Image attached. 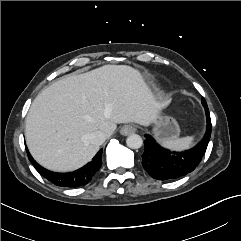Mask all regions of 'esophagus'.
I'll list each match as a JSON object with an SVG mask.
<instances>
[{"label": "esophagus", "mask_w": 241, "mask_h": 241, "mask_svg": "<svg viewBox=\"0 0 241 241\" xmlns=\"http://www.w3.org/2000/svg\"><path fill=\"white\" fill-rule=\"evenodd\" d=\"M136 131V128L133 125H124L122 126V128L120 129V133L124 136H127L129 134H132Z\"/></svg>", "instance_id": "34e87169"}]
</instances>
